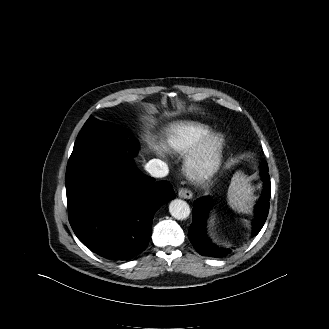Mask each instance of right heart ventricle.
I'll return each instance as SVG.
<instances>
[{
	"label": "right heart ventricle",
	"mask_w": 329,
	"mask_h": 329,
	"mask_svg": "<svg viewBox=\"0 0 329 329\" xmlns=\"http://www.w3.org/2000/svg\"><path fill=\"white\" fill-rule=\"evenodd\" d=\"M211 133L210 127L200 123H173L166 130L164 146L169 152L184 154Z\"/></svg>",
	"instance_id": "right-heart-ventricle-1"
}]
</instances>
